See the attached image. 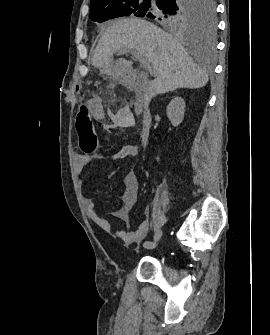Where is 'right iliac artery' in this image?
Returning <instances> with one entry per match:
<instances>
[{"instance_id":"obj_1","label":"right iliac artery","mask_w":270,"mask_h":335,"mask_svg":"<svg viewBox=\"0 0 270 335\" xmlns=\"http://www.w3.org/2000/svg\"><path fill=\"white\" fill-rule=\"evenodd\" d=\"M143 246L147 249H153L155 248L156 245L151 241H146L144 242Z\"/></svg>"}]
</instances>
